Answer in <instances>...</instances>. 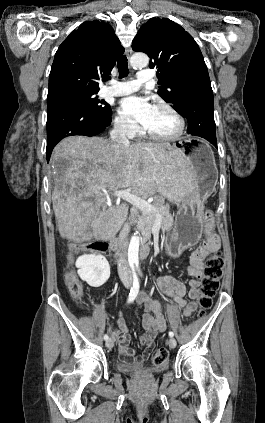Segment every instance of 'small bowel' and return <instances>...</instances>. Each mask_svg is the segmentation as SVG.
Listing matches in <instances>:
<instances>
[{
    "label": "small bowel",
    "mask_w": 265,
    "mask_h": 423,
    "mask_svg": "<svg viewBox=\"0 0 265 423\" xmlns=\"http://www.w3.org/2000/svg\"><path fill=\"white\" fill-rule=\"evenodd\" d=\"M220 246L219 236L215 233H207L205 243L198 247L190 258L188 273L191 279L188 282L189 289L185 283L172 276H162L156 279L155 287L160 294L171 298L176 304L183 308V315L190 317L196 309V298L200 294V284L203 277L204 259L207 255L215 252ZM188 295V299L186 298ZM136 303L143 307L142 326L143 333L140 336V344L144 351L141 356L136 357L135 351L130 348L129 327L123 318V310H119L116 318L117 330L112 331V336L119 343V352L122 360L139 365L147 358L154 347L157 335L166 329V321L163 314V306L160 301L153 299L148 293H141L136 298Z\"/></svg>",
    "instance_id": "obj_1"
}]
</instances>
